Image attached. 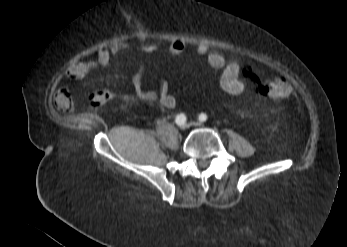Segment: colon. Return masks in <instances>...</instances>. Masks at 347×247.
<instances>
[{
    "label": "colon",
    "mask_w": 347,
    "mask_h": 247,
    "mask_svg": "<svg viewBox=\"0 0 347 247\" xmlns=\"http://www.w3.org/2000/svg\"><path fill=\"white\" fill-rule=\"evenodd\" d=\"M260 87L264 91V96L269 101H277L290 94V86L284 78L265 75L260 80ZM110 98L106 91H95L90 96V103L94 107L104 105Z\"/></svg>",
    "instance_id": "colon-1"
}]
</instances>
